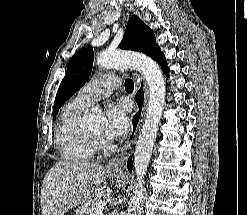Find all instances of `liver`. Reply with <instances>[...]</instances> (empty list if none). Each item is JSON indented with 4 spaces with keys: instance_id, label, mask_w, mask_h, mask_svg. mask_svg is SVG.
Here are the masks:
<instances>
[{
    "instance_id": "liver-1",
    "label": "liver",
    "mask_w": 247,
    "mask_h": 215,
    "mask_svg": "<svg viewBox=\"0 0 247 215\" xmlns=\"http://www.w3.org/2000/svg\"><path fill=\"white\" fill-rule=\"evenodd\" d=\"M103 166L60 161L46 174L41 189L43 215H64L69 209L99 199L105 192Z\"/></svg>"
}]
</instances>
